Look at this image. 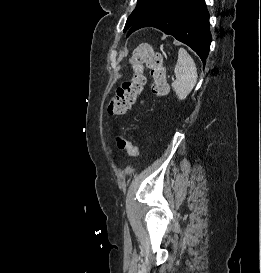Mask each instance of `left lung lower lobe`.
Returning a JSON list of instances; mask_svg holds the SVG:
<instances>
[{
	"mask_svg": "<svg viewBox=\"0 0 261 273\" xmlns=\"http://www.w3.org/2000/svg\"><path fill=\"white\" fill-rule=\"evenodd\" d=\"M155 27L192 48L205 64L211 43L209 13L204 0H168L154 8L129 29Z\"/></svg>",
	"mask_w": 261,
	"mask_h": 273,
	"instance_id": "obj_1",
	"label": "left lung lower lobe"
}]
</instances>
